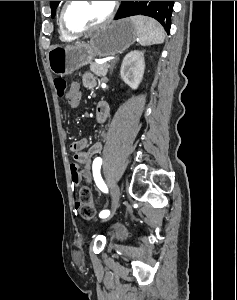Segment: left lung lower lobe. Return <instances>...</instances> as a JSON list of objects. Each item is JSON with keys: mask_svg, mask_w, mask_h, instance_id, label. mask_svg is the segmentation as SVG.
Segmentation results:
<instances>
[{"mask_svg": "<svg viewBox=\"0 0 237 300\" xmlns=\"http://www.w3.org/2000/svg\"><path fill=\"white\" fill-rule=\"evenodd\" d=\"M164 4H165V5H173V4H174V1H164Z\"/></svg>", "mask_w": 237, "mask_h": 300, "instance_id": "obj_1", "label": "left lung lower lobe"}]
</instances>
